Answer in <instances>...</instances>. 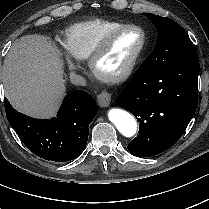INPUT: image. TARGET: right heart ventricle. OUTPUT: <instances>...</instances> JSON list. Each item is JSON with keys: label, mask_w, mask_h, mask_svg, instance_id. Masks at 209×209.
Masks as SVG:
<instances>
[{"label": "right heart ventricle", "mask_w": 209, "mask_h": 209, "mask_svg": "<svg viewBox=\"0 0 209 209\" xmlns=\"http://www.w3.org/2000/svg\"><path fill=\"white\" fill-rule=\"evenodd\" d=\"M122 24L127 23L99 18L74 23L63 31L65 49L76 60L87 59L105 34Z\"/></svg>", "instance_id": "obj_1"}]
</instances>
